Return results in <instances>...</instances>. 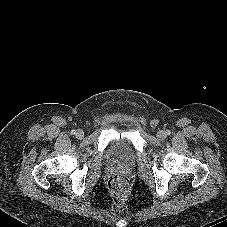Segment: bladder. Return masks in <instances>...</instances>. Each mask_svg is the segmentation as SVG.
I'll return each instance as SVG.
<instances>
[{"label":"bladder","mask_w":227,"mask_h":227,"mask_svg":"<svg viewBox=\"0 0 227 227\" xmlns=\"http://www.w3.org/2000/svg\"><path fill=\"white\" fill-rule=\"evenodd\" d=\"M109 156L115 161L127 163L133 159L134 152L127 139H120L110 145Z\"/></svg>","instance_id":"1"}]
</instances>
